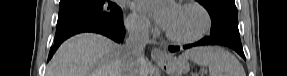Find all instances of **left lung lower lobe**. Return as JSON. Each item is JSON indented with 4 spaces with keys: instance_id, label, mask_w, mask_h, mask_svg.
<instances>
[{
    "instance_id": "left-lung-lower-lobe-1",
    "label": "left lung lower lobe",
    "mask_w": 287,
    "mask_h": 76,
    "mask_svg": "<svg viewBox=\"0 0 287 76\" xmlns=\"http://www.w3.org/2000/svg\"><path fill=\"white\" fill-rule=\"evenodd\" d=\"M200 45H224V46H228V47L234 49L239 55H241L245 59V55H244L241 43H229V42H225L223 40L215 39L212 36L205 37L202 40H200L194 44L185 45V46H183V48L187 49L190 47L200 46ZM169 50L171 52H175V51L180 50V47L179 46H170Z\"/></svg>"
}]
</instances>
